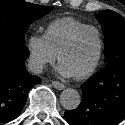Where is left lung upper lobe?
Listing matches in <instances>:
<instances>
[{
  "instance_id": "5c2ea615",
  "label": "left lung upper lobe",
  "mask_w": 125,
  "mask_h": 125,
  "mask_svg": "<svg viewBox=\"0 0 125 125\" xmlns=\"http://www.w3.org/2000/svg\"><path fill=\"white\" fill-rule=\"evenodd\" d=\"M96 18L104 34L105 61L125 56V19L111 10L100 11Z\"/></svg>"
}]
</instances>
